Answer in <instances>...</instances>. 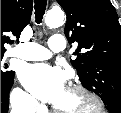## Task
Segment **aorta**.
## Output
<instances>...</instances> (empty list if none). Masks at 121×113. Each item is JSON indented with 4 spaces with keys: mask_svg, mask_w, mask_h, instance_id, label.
<instances>
[{
    "mask_svg": "<svg viewBox=\"0 0 121 113\" xmlns=\"http://www.w3.org/2000/svg\"><path fill=\"white\" fill-rule=\"evenodd\" d=\"M65 15L60 9H52L45 16V23L49 28H57L64 23Z\"/></svg>",
    "mask_w": 121,
    "mask_h": 113,
    "instance_id": "1",
    "label": "aorta"
}]
</instances>
